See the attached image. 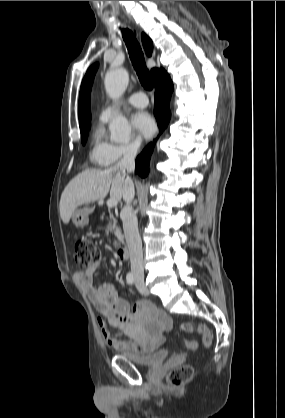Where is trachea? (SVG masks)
<instances>
[{
	"mask_svg": "<svg viewBox=\"0 0 285 418\" xmlns=\"http://www.w3.org/2000/svg\"><path fill=\"white\" fill-rule=\"evenodd\" d=\"M122 35L127 46L130 59L142 86L147 90H152L154 86L153 79L149 70L146 67L144 55L140 47V44L138 43L135 36L130 30H123Z\"/></svg>",
	"mask_w": 285,
	"mask_h": 418,
	"instance_id": "1",
	"label": "trachea"
}]
</instances>
